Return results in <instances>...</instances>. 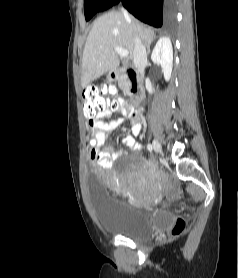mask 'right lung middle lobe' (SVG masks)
<instances>
[{"mask_svg": "<svg viewBox=\"0 0 238 278\" xmlns=\"http://www.w3.org/2000/svg\"><path fill=\"white\" fill-rule=\"evenodd\" d=\"M105 0H85L84 3V13L85 19L90 20L94 14H96L104 3Z\"/></svg>", "mask_w": 238, "mask_h": 278, "instance_id": "1", "label": "right lung middle lobe"}]
</instances>
